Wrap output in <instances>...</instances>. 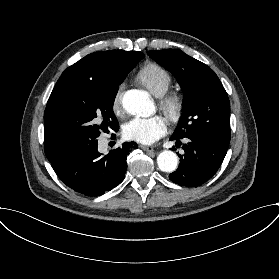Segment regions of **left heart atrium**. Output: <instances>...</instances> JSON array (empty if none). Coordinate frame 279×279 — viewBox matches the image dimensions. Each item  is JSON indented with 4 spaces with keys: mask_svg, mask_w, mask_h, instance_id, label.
Masks as SVG:
<instances>
[{
    "mask_svg": "<svg viewBox=\"0 0 279 279\" xmlns=\"http://www.w3.org/2000/svg\"><path fill=\"white\" fill-rule=\"evenodd\" d=\"M167 127L162 116L134 117L122 127L125 139L141 144H152L165 135Z\"/></svg>",
    "mask_w": 279,
    "mask_h": 279,
    "instance_id": "1",
    "label": "left heart atrium"
}]
</instances>
